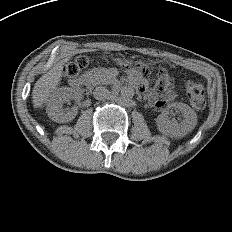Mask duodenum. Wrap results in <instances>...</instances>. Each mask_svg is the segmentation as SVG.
<instances>
[{
    "label": "duodenum",
    "mask_w": 232,
    "mask_h": 232,
    "mask_svg": "<svg viewBox=\"0 0 232 232\" xmlns=\"http://www.w3.org/2000/svg\"><path fill=\"white\" fill-rule=\"evenodd\" d=\"M73 86L77 90H87L90 87V79L88 77H82L74 81Z\"/></svg>",
    "instance_id": "410a0bca"
}]
</instances>
